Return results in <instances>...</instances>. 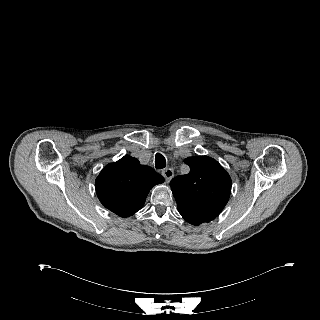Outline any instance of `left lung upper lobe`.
I'll return each instance as SVG.
<instances>
[{
	"label": "left lung upper lobe",
	"instance_id": "obj_1",
	"mask_svg": "<svg viewBox=\"0 0 320 320\" xmlns=\"http://www.w3.org/2000/svg\"><path fill=\"white\" fill-rule=\"evenodd\" d=\"M190 172L172 179L170 186L177 206L198 215L217 217L228 202L232 181L213 158L194 156L185 159Z\"/></svg>",
	"mask_w": 320,
	"mask_h": 320
}]
</instances>
